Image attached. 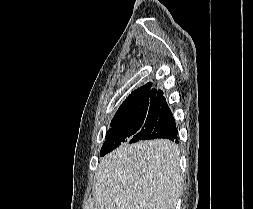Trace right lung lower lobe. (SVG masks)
Wrapping results in <instances>:
<instances>
[{
	"label": "right lung lower lobe",
	"mask_w": 253,
	"mask_h": 209,
	"mask_svg": "<svg viewBox=\"0 0 253 209\" xmlns=\"http://www.w3.org/2000/svg\"><path fill=\"white\" fill-rule=\"evenodd\" d=\"M150 109L158 111V119L155 126L141 136L142 140L166 138L178 142L176 123L165 98L154 102Z\"/></svg>",
	"instance_id": "98d812e1"
}]
</instances>
